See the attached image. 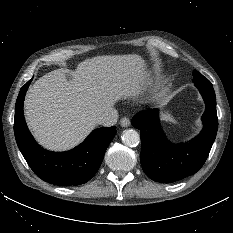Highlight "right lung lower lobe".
I'll return each instance as SVG.
<instances>
[{"mask_svg":"<svg viewBox=\"0 0 233 233\" xmlns=\"http://www.w3.org/2000/svg\"><path fill=\"white\" fill-rule=\"evenodd\" d=\"M31 81L21 88L15 104L14 133L22 155L34 173L51 184L71 186L89 181L98 171L116 127L92 131L83 143L67 152L43 149L33 139L24 119L23 102Z\"/></svg>","mask_w":233,"mask_h":233,"instance_id":"1","label":"right lung lower lobe"}]
</instances>
